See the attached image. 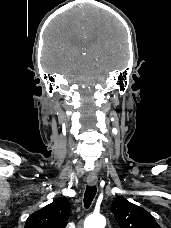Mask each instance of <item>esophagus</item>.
I'll return each mask as SVG.
<instances>
[{
    "mask_svg": "<svg viewBox=\"0 0 171 228\" xmlns=\"http://www.w3.org/2000/svg\"><path fill=\"white\" fill-rule=\"evenodd\" d=\"M96 184H97V177H96V176H89V177L87 178V185H88V186L93 187V186H95Z\"/></svg>",
    "mask_w": 171,
    "mask_h": 228,
    "instance_id": "esophagus-1",
    "label": "esophagus"
}]
</instances>
